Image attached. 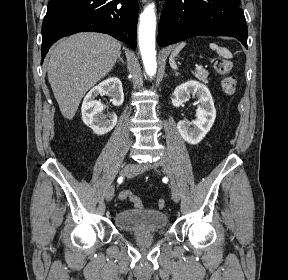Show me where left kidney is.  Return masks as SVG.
<instances>
[{"mask_svg": "<svg viewBox=\"0 0 288 280\" xmlns=\"http://www.w3.org/2000/svg\"><path fill=\"white\" fill-rule=\"evenodd\" d=\"M198 97L196 119L188 123L185 119L177 124V129L189 144H198L210 131L216 118V109L209 89L198 81L190 80L182 83L173 92L172 104L174 107L184 106L190 95Z\"/></svg>", "mask_w": 288, "mask_h": 280, "instance_id": "1", "label": "left kidney"}]
</instances>
